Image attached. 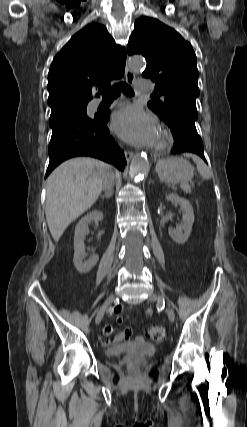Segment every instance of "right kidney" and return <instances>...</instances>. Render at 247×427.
<instances>
[{
	"instance_id": "ca27d5eb",
	"label": "right kidney",
	"mask_w": 247,
	"mask_h": 427,
	"mask_svg": "<svg viewBox=\"0 0 247 427\" xmlns=\"http://www.w3.org/2000/svg\"><path fill=\"white\" fill-rule=\"evenodd\" d=\"M91 220L102 221L103 213L100 211H92L79 220L75 228L74 236V258L73 262L78 272L88 273L98 262V255H92L88 260H85V235L89 232L88 223Z\"/></svg>"
}]
</instances>
